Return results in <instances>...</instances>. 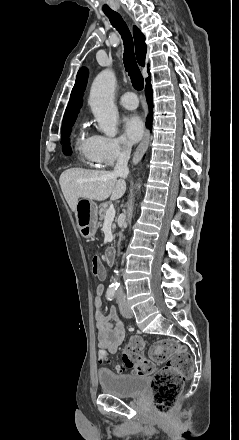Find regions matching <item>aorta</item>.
<instances>
[{"instance_id": "obj_1", "label": "aorta", "mask_w": 239, "mask_h": 440, "mask_svg": "<svg viewBox=\"0 0 239 440\" xmlns=\"http://www.w3.org/2000/svg\"><path fill=\"white\" fill-rule=\"evenodd\" d=\"M116 78L112 70H103L96 76L90 90L89 104L96 118L99 130L108 138H115L117 134L118 110L114 106ZM115 274H118L115 270ZM116 282V278L114 280Z\"/></svg>"}]
</instances>
